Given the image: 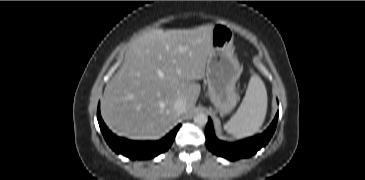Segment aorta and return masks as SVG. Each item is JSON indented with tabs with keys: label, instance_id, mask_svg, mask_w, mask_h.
Instances as JSON below:
<instances>
[{
	"label": "aorta",
	"instance_id": "aorta-1",
	"mask_svg": "<svg viewBox=\"0 0 365 180\" xmlns=\"http://www.w3.org/2000/svg\"><path fill=\"white\" fill-rule=\"evenodd\" d=\"M208 122V117L204 113H199L194 116V123L200 126L206 125Z\"/></svg>",
	"mask_w": 365,
	"mask_h": 180
}]
</instances>
